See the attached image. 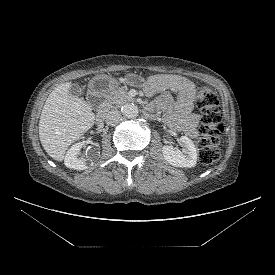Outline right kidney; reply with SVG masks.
<instances>
[{
  "label": "right kidney",
  "mask_w": 275,
  "mask_h": 275,
  "mask_svg": "<svg viewBox=\"0 0 275 275\" xmlns=\"http://www.w3.org/2000/svg\"><path fill=\"white\" fill-rule=\"evenodd\" d=\"M87 142H79L74 145L67 151L65 156L64 164L66 167L74 169V170H85L87 169V161L89 159H85L82 157H78L80 149L86 144Z\"/></svg>",
  "instance_id": "right-kidney-1"
}]
</instances>
